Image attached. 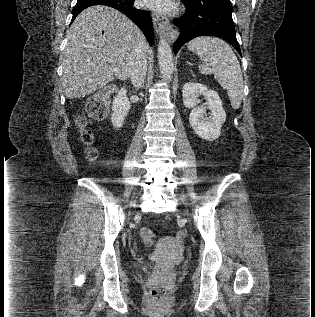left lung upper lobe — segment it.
Returning a JSON list of instances; mask_svg holds the SVG:
<instances>
[{"label":"left lung upper lobe","mask_w":315,"mask_h":317,"mask_svg":"<svg viewBox=\"0 0 315 317\" xmlns=\"http://www.w3.org/2000/svg\"><path fill=\"white\" fill-rule=\"evenodd\" d=\"M182 1H186V2H193V1H195V2H208V3H211V4H215L217 6L232 8L230 0H182Z\"/></svg>","instance_id":"obj_1"}]
</instances>
